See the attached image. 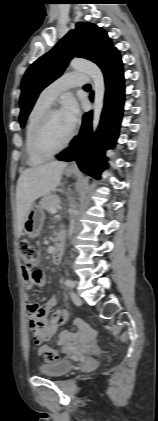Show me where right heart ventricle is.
I'll return each instance as SVG.
<instances>
[{"label":"right heart ventricle","mask_w":158,"mask_h":421,"mask_svg":"<svg viewBox=\"0 0 158 421\" xmlns=\"http://www.w3.org/2000/svg\"><path fill=\"white\" fill-rule=\"evenodd\" d=\"M50 104L40 100L39 98L35 101L32 108L29 111L26 128H25V153L27 157V163L30 166H38L43 164L48 158L42 157L36 153L33 147V132L35 126L40 119L41 115Z\"/></svg>","instance_id":"e07e8e85"}]
</instances>
